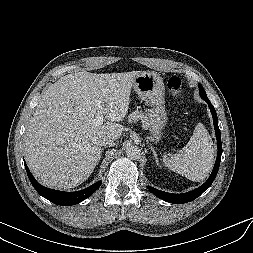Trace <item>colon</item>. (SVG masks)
<instances>
[{
	"mask_svg": "<svg viewBox=\"0 0 253 253\" xmlns=\"http://www.w3.org/2000/svg\"><path fill=\"white\" fill-rule=\"evenodd\" d=\"M181 86L182 82L180 78L171 76L167 79V87L174 96H177L179 94Z\"/></svg>",
	"mask_w": 253,
	"mask_h": 253,
	"instance_id": "1",
	"label": "colon"
}]
</instances>
